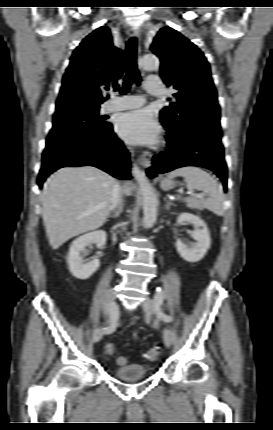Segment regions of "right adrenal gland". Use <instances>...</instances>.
<instances>
[{
  "label": "right adrenal gland",
  "mask_w": 273,
  "mask_h": 430,
  "mask_svg": "<svg viewBox=\"0 0 273 430\" xmlns=\"http://www.w3.org/2000/svg\"><path fill=\"white\" fill-rule=\"evenodd\" d=\"M121 210H122L121 207L117 209H111L113 214H109L107 218H118L120 216Z\"/></svg>",
  "instance_id": "right-adrenal-gland-1"
}]
</instances>
